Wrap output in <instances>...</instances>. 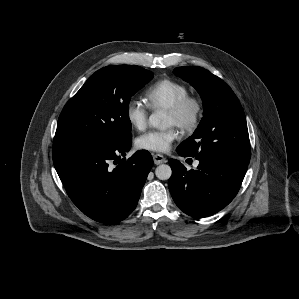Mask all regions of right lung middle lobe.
I'll list each match as a JSON object with an SVG mask.
<instances>
[{
  "instance_id": "right-lung-middle-lobe-1",
  "label": "right lung middle lobe",
  "mask_w": 299,
  "mask_h": 299,
  "mask_svg": "<svg viewBox=\"0 0 299 299\" xmlns=\"http://www.w3.org/2000/svg\"><path fill=\"white\" fill-rule=\"evenodd\" d=\"M152 77L136 65L96 71L64 106L54 139L97 144L130 139V99Z\"/></svg>"
}]
</instances>
